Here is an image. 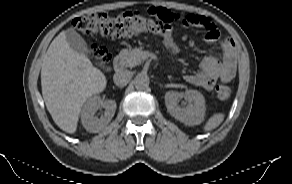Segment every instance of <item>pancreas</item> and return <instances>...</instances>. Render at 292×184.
<instances>
[{
    "instance_id": "obj_1",
    "label": "pancreas",
    "mask_w": 292,
    "mask_h": 184,
    "mask_svg": "<svg viewBox=\"0 0 292 184\" xmlns=\"http://www.w3.org/2000/svg\"><path fill=\"white\" fill-rule=\"evenodd\" d=\"M119 57L125 67H135L144 61L143 51L139 48L123 49Z\"/></svg>"
}]
</instances>
